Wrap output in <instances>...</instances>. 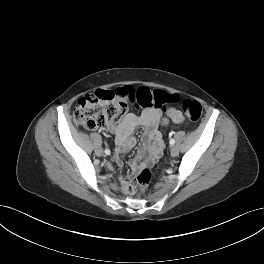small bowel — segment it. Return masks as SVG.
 Segmentation results:
<instances>
[{"label": "small bowel", "instance_id": "c3829d8e", "mask_svg": "<svg viewBox=\"0 0 264 264\" xmlns=\"http://www.w3.org/2000/svg\"><path fill=\"white\" fill-rule=\"evenodd\" d=\"M183 121V114L175 108L168 109L165 117L157 109H146L140 114H127L120 125L109 127L115 134L116 164L122 166L120 153L129 151L136 145V140L131 135L137 126H143L145 133L142 137V148L137 157L131 161V168L133 172H137L142 168L151 167L162 154L164 147L161 134L157 131L158 125H166L169 122L179 124ZM121 183L123 192L127 193L130 185L129 177H123Z\"/></svg>", "mask_w": 264, "mask_h": 264}]
</instances>
